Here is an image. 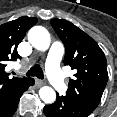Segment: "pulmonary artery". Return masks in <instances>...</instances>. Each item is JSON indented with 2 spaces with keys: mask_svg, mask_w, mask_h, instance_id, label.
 Wrapping results in <instances>:
<instances>
[{
  "mask_svg": "<svg viewBox=\"0 0 117 117\" xmlns=\"http://www.w3.org/2000/svg\"><path fill=\"white\" fill-rule=\"evenodd\" d=\"M63 46L59 42H54L48 53L46 60V72L47 76L53 85V87L59 92H65L67 85L64 82L63 76L60 71V61L63 56Z\"/></svg>",
  "mask_w": 117,
  "mask_h": 117,
  "instance_id": "obj_1",
  "label": "pulmonary artery"
}]
</instances>
